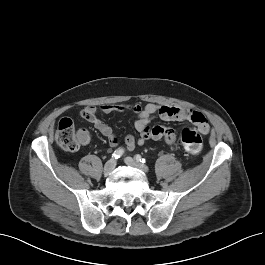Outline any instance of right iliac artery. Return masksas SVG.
Segmentation results:
<instances>
[{
	"label": "right iliac artery",
	"mask_w": 265,
	"mask_h": 265,
	"mask_svg": "<svg viewBox=\"0 0 265 265\" xmlns=\"http://www.w3.org/2000/svg\"><path fill=\"white\" fill-rule=\"evenodd\" d=\"M124 154V150L122 148H119L117 150L114 151V153L112 154V158L113 159H118L120 158L122 155Z\"/></svg>",
	"instance_id": "82829eb1"
}]
</instances>
